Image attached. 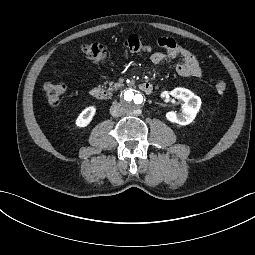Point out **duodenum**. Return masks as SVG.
<instances>
[{"label":"duodenum","instance_id":"duodenum-1","mask_svg":"<svg viewBox=\"0 0 255 255\" xmlns=\"http://www.w3.org/2000/svg\"><path fill=\"white\" fill-rule=\"evenodd\" d=\"M139 88L146 94H150L153 90V86L149 82H143L139 85ZM90 95L96 100L104 101L109 98V93L107 90L101 87H94L90 90Z\"/></svg>","mask_w":255,"mask_h":255}]
</instances>
